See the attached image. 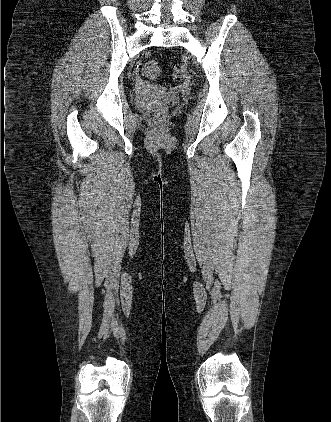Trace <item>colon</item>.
Wrapping results in <instances>:
<instances>
[{
	"label": "colon",
	"mask_w": 331,
	"mask_h": 422,
	"mask_svg": "<svg viewBox=\"0 0 331 422\" xmlns=\"http://www.w3.org/2000/svg\"><path fill=\"white\" fill-rule=\"evenodd\" d=\"M160 67L155 61H147L142 68V73L146 78L154 79L160 75ZM174 80L177 83L182 82L185 79L186 73L182 67H176L174 69ZM166 114V108L161 107L155 111L156 118H162Z\"/></svg>",
	"instance_id": "obj_1"
}]
</instances>
